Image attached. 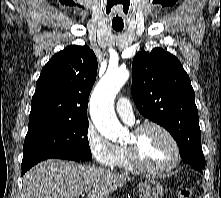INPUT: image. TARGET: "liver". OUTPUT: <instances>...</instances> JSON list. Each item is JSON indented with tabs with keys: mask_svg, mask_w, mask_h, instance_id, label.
<instances>
[{
	"mask_svg": "<svg viewBox=\"0 0 221 198\" xmlns=\"http://www.w3.org/2000/svg\"><path fill=\"white\" fill-rule=\"evenodd\" d=\"M131 181L127 174L113 173L97 166L49 159L31 168L23 178V198H107Z\"/></svg>",
	"mask_w": 221,
	"mask_h": 198,
	"instance_id": "6515ba94",
	"label": "liver"
}]
</instances>
